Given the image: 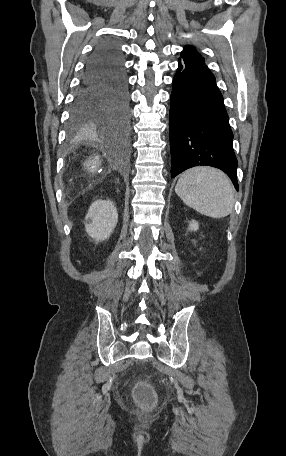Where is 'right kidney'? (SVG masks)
<instances>
[{
  "label": "right kidney",
  "mask_w": 286,
  "mask_h": 456,
  "mask_svg": "<svg viewBox=\"0 0 286 456\" xmlns=\"http://www.w3.org/2000/svg\"><path fill=\"white\" fill-rule=\"evenodd\" d=\"M118 222V213L110 200L98 199L92 203L85 217V229L97 242L106 240Z\"/></svg>",
  "instance_id": "right-kidney-1"
}]
</instances>
